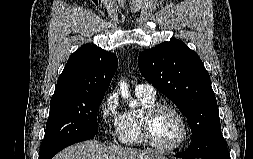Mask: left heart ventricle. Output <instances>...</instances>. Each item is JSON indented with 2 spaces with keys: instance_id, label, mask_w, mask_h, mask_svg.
<instances>
[{
  "instance_id": "1",
  "label": "left heart ventricle",
  "mask_w": 253,
  "mask_h": 159,
  "mask_svg": "<svg viewBox=\"0 0 253 159\" xmlns=\"http://www.w3.org/2000/svg\"><path fill=\"white\" fill-rule=\"evenodd\" d=\"M152 132L159 145L172 146L178 142L182 135V124L175 113L162 110L153 120Z\"/></svg>"
}]
</instances>
